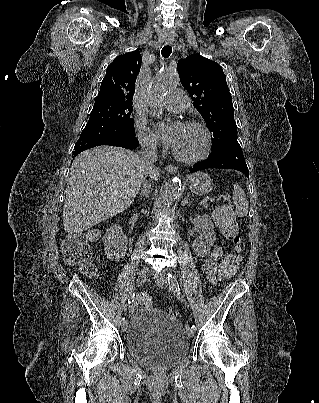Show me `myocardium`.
<instances>
[{"instance_id": "myocardium-1", "label": "myocardium", "mask_w": 319, "mask_h": 403, "mask_svg": "<svg viewBox=\"0 0 319 403\" xmlns=\"http://www.w3.org/2000/svg\"><path fill=\"white\" fill-rule=\"evenodd\" d=\"M185 126L197 128L201 132V134L203 136V140H204L203 149L198 155L192 156V157L182 156L181 154L176 152L174 149L173 156L178 161H181L184 163L192 164V163L200 162V161L204 160L211 151L212 139H211L210 132L204 124H202L198 121H195V120L185 121Z\"/></svg>"}]
</instances>
